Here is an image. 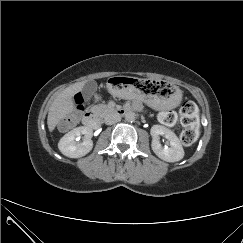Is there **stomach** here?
<instances>
[{
	"label": "stomach",
	"mask_w": 243,
	"mask_h": 243,
	"mask_svg": "<svg viewBox=\"0 0 243 243\" xmlns=\"http://www.w3.org/2000/svg\"><path fill=\"white\" fill-rule=\"evenodd\" d=\"M109 92L124 100L146 103L157 110H172L182 100V92L176 84L162 78H130L115 76L109 80Z\"/></svg>",
	"instance_id": "stomach-1"
}]
</instances>
